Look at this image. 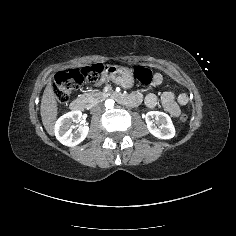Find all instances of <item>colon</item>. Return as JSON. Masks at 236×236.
<instances>
[{
	"label": "colon",
	"mask_w": 236,
	"mask_h": 236,
	"mask_svg": "<svg viewBox=\"0 0 236 236\" xmlns=\"http://www.w3.org/2000/svg\"><path fill=\"white\" fill-rule=\"evenodd\" d=\"M102 69L100 64H93L80 69L58 72L54 79V93L57 101L61 104L66 103L71 93L85 81H96ZM134 75L142 84L152 82L153 73L150 68L137 67L134 71ZM179 119L181 122H186L188 115L183 112L180 114Z\"/></svg>",
	"instance_id": "obj_1"
}]
</instances>
